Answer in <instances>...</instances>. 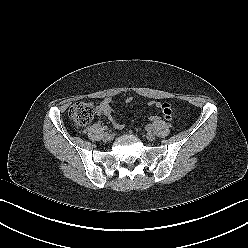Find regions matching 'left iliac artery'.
I'll list each match as a JSON object with an SVG mask.
<instances>
[{
  "label": "left iliac artery",
  "mask_w": 248,
  "mask_h": 248,
  "mask_svg": "<svg viewBox=\"0 0 248 248\" xmlns=\"http://www.w3.org/2000/svg\"><path fill=\"white\" fill-rule=\"evenodd\" d=\"M147 129L148 130H151L152 129V126L149 124V125H147Z\"/></svg>",
  "instance_id": "44dca946"
}]
</instances>
